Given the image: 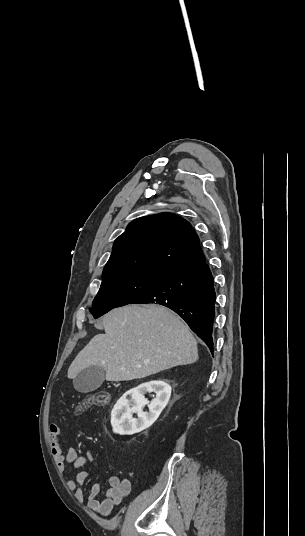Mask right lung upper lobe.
<instances>
[{
    "label": "right lung upper lobe",
    "mask_w": 305,
    "mask_h": 536,
    "mask_svg": "<svg viewBox=\"0 0 305 536\" xmlns=\"http://www.w3.org/2000/svg\"><path fill=\"white\" fill-rule=\"evenodd\" d=\"M204 258L199 238L185 219L171 213L141 217L115 240L103 279L131 273L168 275Z\"/></svg>",
    "instance_id": "cb5924a9"
}]
</instances>
